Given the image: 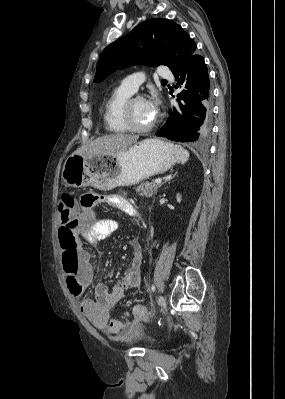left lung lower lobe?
I'll return each instance as SVG.
<instances>
[{"label":"left lung lower lobe","instance_id":"0a47b994","mask_svg":"<svg viewBox=\"0 0 285 399\" xmlns=\"http://www.w3.org/2000/svg\"><path fill=\"white\" fill-rule=\"evenodd\" d=\"M181 114L174 108L167 123L156 133L178 142L204 140L210 130L211 101L210 81L204 58L196 52L186 57L173 72Z\"/></svg>","mask_w":285,"mask_h":399}]
</instances>
